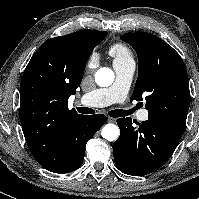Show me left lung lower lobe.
<instances>
[{"instance_id":"1","label":"left lung lower lobe","mask_w":199,"mask_h":199,"mask_svg":"<svg viewBox=\"0 0 199 199\" xmlns=\"http://www.w3.org/2000/svg\"><path fill=\"white\" fill-rule=\"evenodd\" d=\"M120 136L113 143L117 168L128 175L143 176L158 170L176 149L184 127L148 117L133 127L130 117L119 118Z\"/></svg>"}]
</instances>
